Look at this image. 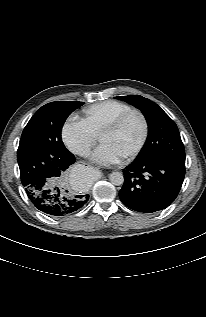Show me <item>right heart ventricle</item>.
I'll list each match as a JSON object with an SVG mask.
<instances>
[{
	"mask_svg": "<svg viewBox=\"0 0 206 317\" xmlns=\"http://www.w3.org/2000/svg\"><path fill=\"white\" fill-rule=\"evenodd\" d=\"M131 109L127 103L107 100L90 105L82 110V120L98 135L114 118Z\"/></svg>",
	"mask_w": 206,
	"mask_h": 317,
	"instance_id": "1",
	"label": "right heart ventricle"
}]
</instances>
